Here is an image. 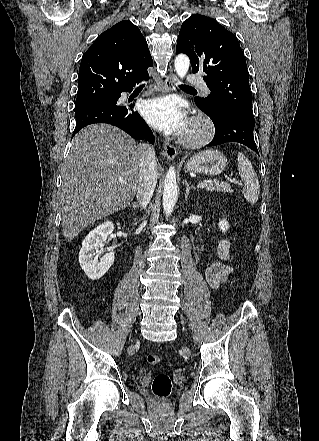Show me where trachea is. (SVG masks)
<instances>
[{
    "mask_svg": "<svg viewBox=\"0 0 319 441\" xmlns=\"http://www.w3.org/2000/svg\"><path fill=\"white\" fill-rule=\"evenodd\" d=\"M144 85H141L140 87H143ZM181 87H184V88H192V87H190V86H187V85H181Z\"/></svg>",
    "mask_w": 319,
    "mask_h": 441,
    "instance_id": "obj_1",
    "label": "trachea"
}]
</instances>
